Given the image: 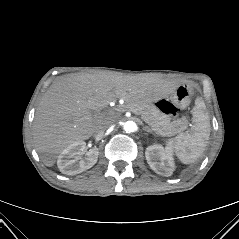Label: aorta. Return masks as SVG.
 <instances>
[{"instance_id": "762f6f07", "label": "aorta", "mask_w": 239, "mask_h": 239, "mask_svg": "<svg viewBox=\"0 0 239 239\" xmlns=\"http://www.w3.org/2000/svg\"><path fill=\"white\" fill-rule=\"evenodd\" d=\"M123 129L126 133H132L137 130V124L134 121H126L123 124Z\"/></svg>"}]
</instances>
